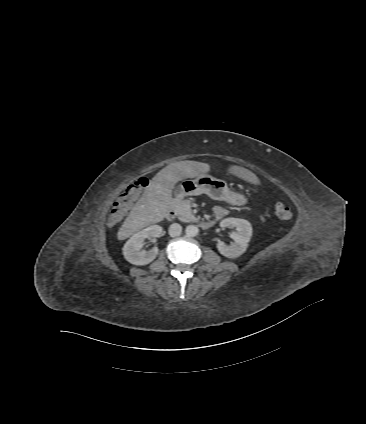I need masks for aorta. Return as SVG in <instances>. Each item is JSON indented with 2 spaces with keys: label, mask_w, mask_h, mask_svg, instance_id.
<instances>
[{
  "label": "aorta",
  "mask_w": 366,
  "mask_h": 424,
  "mask_svg": "<svg viewBox=\"0 0 366 424\" xmlns=\"http://www.w3.org/2000/svg\"><path fill=\"white\" fill-rule=\"evenodd\" d=\"M198 232H199L198 227L195 225H188L185 229L186 235L190 237L198 235Z\"/></svg>",
  "instance_id": "obj_1"
}]
</instances>
